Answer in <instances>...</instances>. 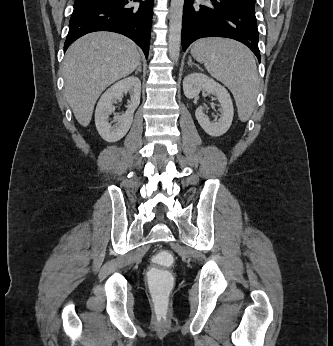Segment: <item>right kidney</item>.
I'll list each match as a JSON object with an SVG mask.
<instances>
[{"instance_id":"ca27d5eb","label":"right kidney","mask_w":333,"mask_h":346,"mask_svg":"<svg viewBox=\"0 0 333 346\" xmlns=\"http://www.w3.org/2000/svg\"><path fill=\"white\" fill-rule=\"evenodd\" d=\"M127 92L131 97L128 109L124 114L114 117L113 122L116 123L112 126L109 116L114 111L113 103ZM140 95L141 81L131 76L118 81L101 96L95 110V125L104 140L116 142L125 136L133 122L134 111L139 106Z\"/></svg>"}]
</instances>
